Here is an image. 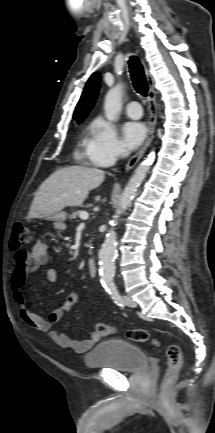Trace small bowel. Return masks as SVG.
I'll use <instances>...</instances> for the list:
<instances>
[{
    "label": "small bowel",
    "instance_id": "1",
    "mask_svg": "<svg viewBox=\"0 0 215 433\" xmlns=\"http://www.w3.org/2000/svg\"><path fill=\"white\" fill-rule=\"evenodd\" d=\"M49 261L48 246L45 242L38 240L30 251L19 250L14 255L15 268L11 275L10 288L13 299L18 306L19 314L23 322L30 327L48 334L50 339L62 348H70L76 353H85L90 350L101 338L96 332H92L85 340H76L68 334L53 329L58 324L65 312L69 311L77 303L79 294L71 292L64 303L55 307L48 317L36 314L30 307L29 300L24 294V287L30 273L46 265ZM58 270L49 268L45 278L48 282H55L58 279Z\"/></svg>",
    "mask_w": 215,
    "mask_h": 433
}]
</instances>
